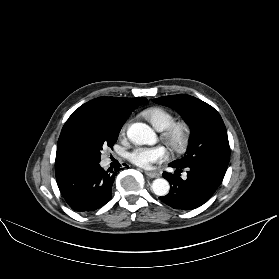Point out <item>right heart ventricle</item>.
I'll return each instance as SVG.
<instances>
[{
  "label": "right heart ventricle",
  "instance_id": "1",
  "mask_svg": "<svg viewBox=\"0 0 279 279\" xmlns=\"http://www.w3.org/2000/svg\"><path fill=\"white\" fill-rule=\"evenodd\" d=\"M143 115L158 131H163L175 121L173 113L160 107L149 108L143 112Z\"/></svg>",
  "mask_w": 279,
  "mask_h": 279
}]
</instances>
